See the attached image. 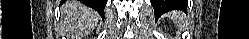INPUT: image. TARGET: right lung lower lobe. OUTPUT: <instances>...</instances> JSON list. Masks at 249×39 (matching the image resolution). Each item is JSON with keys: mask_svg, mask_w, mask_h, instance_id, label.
Wrapping results in <instances>:
<instances>
[{"mask_svg": "<svg viewBox=\"0 0 249 39\" xmlns=\"http://www.w3.org/2000/svg\"><path fill=\"white\" fill-rule=\"evenodd\" d=\"M84 4L96 10L101 16L104 15L106 0H84Z\"/></svg>", "mask_w": 249, "mask_h": 39, "instance_id": "obj_1", "label": "right lung lower lobe"}]
</instances>
